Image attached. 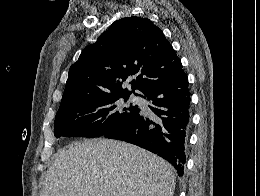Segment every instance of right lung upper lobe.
<instances>
[{
  "label": "right lung upper lobe",
  "mask_w": 260,
  "mask_h": 196,
  "mask_svg": "<svg viewBox=\"0 0 260 196\" xmlns=\"http://www.w3.org/2000/svg\"><path fill=\"white\" fill-rule=\"evenodd\" d=\"M182 65L163 32L149 19L128 16L115 21L98 40L84 48L69 76L59 110L103 93L132 91L174 78ZM137 95V94H136Z\"/></svg>",
  "instance_id": "1"
}]
</instances>
